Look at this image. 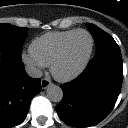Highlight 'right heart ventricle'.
Instances as JSON below:
<instances>
[{"instance_id": "1", "label": "right heart ventricle", "mask_w": 128, "mask_h": 128, "mask_svg": "<svg viewBox=\"0 0 128 128\" xmlns=\"http://www.w3.org/2000/svg\"><path fill=\"white\" fill-rule=\"evenodd\" d=\"M74 30L53 31L35 38L30 45V52L45 66H50L63 41Z\"/></svg>"}]
</instances>
